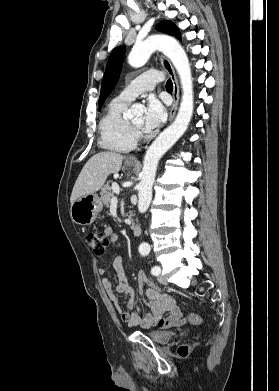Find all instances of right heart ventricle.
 Here are the masks:
<instances>
[{"mask_svg": "<svg viewBox=\"0 0 279 391\" xmlns=\"http://www.w3.org/2000/svg\"><path fill=\"white\" fill-rule=\"evenodd\" d=\"M129 101L112 99L99 122L100 145L114 152H128L137 145V136L125 115Z\"/></svg>", "mask_w": 279, "mask_h": 391, "instance_id": "obj_1", "label": "right heart ventricle"}]
</instances>
